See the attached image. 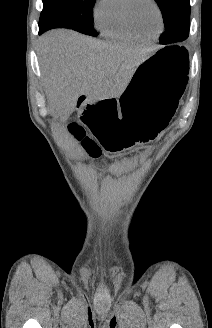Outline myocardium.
<instances>
[{
  "label": "myocardium",
  "instance_id": "1",
  "mask_svg": "<svg viewBox=\"0 0 212 328\" xmlns=\"http://www.w3.org/2000/svg\"><path fill=\"white\" fill-rule=\"evenodd\" d=\"M136 2H138V0H128V4H127V7H126V16H127V20L131 26V28L137 33V34H140L141 33V28L138 26L135 18H134V13H133V10H134V6L136 4ZM149 3H151V5L154 7L157 15H158V18H159V28L158 30L156 31V35H159L161 32H162V29H163V25H164V19H163V14H162V11L157 3L156 0H148Z\"/></svg>",
  "mask_w": 212,
  "mask_h": 328
}]
</instances>
